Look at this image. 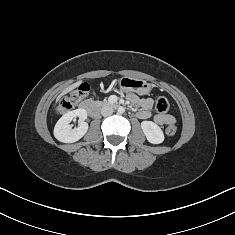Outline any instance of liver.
<instances>
[{"mask_svg":"<svg viewBox=\"0 0 235 235\" xmlns=\"http://www.w3.org/2000/svg\"><path fill=\"white\" fill-rule=\"evenodd\" d=\"M81 84V82H76L72 85H70L69 87H67L65 90L62 91V93L57 97L56 102H58V100L61 98V96L69 93L70 91H72L73 89H75L76 87H78Z\"/></svg>","mask_w":235,"mask_h":235,"instance_id":"liver-1","label":"liver"}]
</instances>
